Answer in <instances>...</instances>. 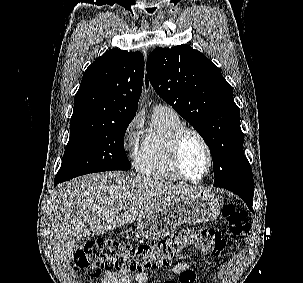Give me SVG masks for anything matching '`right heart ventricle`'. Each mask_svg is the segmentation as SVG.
Listing matches in <instances>:
<instances>
[{
  "label": "right heart ventricle",
  "instance_id": "1",
  "mask_svg": "<svg viewBox=\"0 0 303 283\" xmlns=\"http://www.w3.org/2000/svg\"><path fill=\"white\" fill-rule=\"evenodd\" d=\"M184 126L173 110H155L150 128L135 151L136 170L150 178L181 181L171 158V141L175 133Z\"/></svg>",
  "mask_w": 303,
  "mask_h": 283
}]
</instances>
